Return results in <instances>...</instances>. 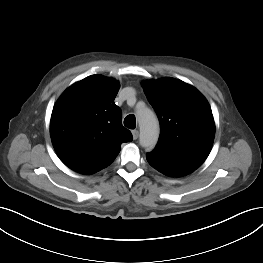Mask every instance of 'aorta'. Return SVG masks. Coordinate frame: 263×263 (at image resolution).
Wrapping results in <instances>:
<instances>
[{"label": "aorta", "mask_w": 263, "mask_h": 263, "mask_svg": "<svg viewBox=\"0 0 263 263\" xmlns=\"http://www.w3.org/2000/svg\"><path fill=\"white\" fill-rule=\"evenodd\" d=\"M136 114L140 127L139 143L144 148L152 149L159 137L157 116L147 107L139 109Z\"/></svg>", "instance_id": "762f6f07"}]
</instances>
